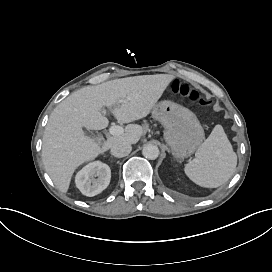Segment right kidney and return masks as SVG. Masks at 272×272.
Returning <instances> with one entry per match:
<instances>
[{
    "mask_svg": "<svg viewBox=\"0 0 272 272\" xmlns=\"http://www.w3.org/2000/svg\"><path fill=\"white\" fill-rule=\"evenodd\" d=\"M110 179V167L101 162H94L77 174L76 185L82 194L93 197L107 188Z\"/></svg>",
    "mask_w": 272,
    "mask_h": 272,
    "instance_id": "obj_1",
    "label": "right kidney"
}]
</instances>
